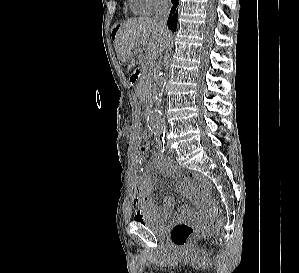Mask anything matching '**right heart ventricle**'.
<instances>
[{"mask_svg":"<svg viewBox=\"0 0 299 273\" xmlns=\"http://www.w3.org/2000/svg\"><path fill=\"white\" fill-rule=\"evenodd\" d=\"M133 2H134V1H133ZM134 9H135L137 12H139V10H138L137 7H136L135 2H134Z\"/></svg>","mask_w":299,"mask_h":273,"instance_id":"obj_1","label":"right heart ventricle"}]
</instances>
